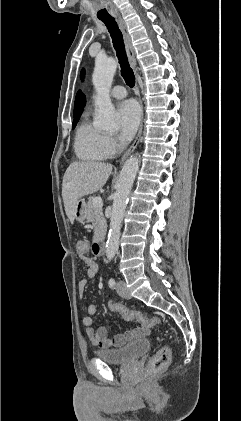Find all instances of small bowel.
Returning a JSON list of instances; mask_svg holds the SVG:
<instances>
[{"label": "small bowel", "instance_id": "obj_1", "mask_svg": "<svg viewBox=\"0 0 241 421\" xmlns=\"http://www.w3.org/2000/svg\"><path fill=\"white\" fill-rule=\"evenodd\" d=\"M80 259L86 266V271L88 277H94L98 272V264L90 257L86 255H79ZM87 288V281L82 279L78 283V294L80 297L83 296ZM96 306L94 304H89L85 313L82 317V323L85 327L87 337L90 342L102 349L116 348L125 345L127 342L134 339H139L146 336L149 332L150 327L144 324H140L133 328L132 330L126 331L121 334H117L114 337L109 336L108 329L104 326L98 328L93 327V315L96 313Z\"/></svg>", "mask_w": 241, "mask_h": 421}]
</instances>
